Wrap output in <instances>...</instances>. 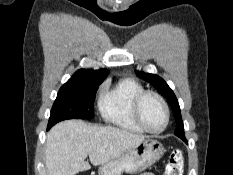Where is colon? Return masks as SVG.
Instances as JSON below:
<instances>
[{
	"label": "colon",
	"mask_w": 233,
	"mask_h": 175,
	"mask_svg": "<svg viewBox=\"0 0 233 175\" xmlns=\"http://www.w3.org/2000/svg\"><path fill=\"white\" fill-rule=\"evenodd\" d=\"M184 167V155L180 149H174L166 163L163 175H182Z\"/></svg>",
	"instance_id": "5ec220e1"
}]
</instances>
